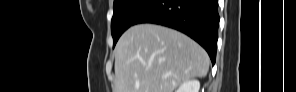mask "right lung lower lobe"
Instances as JSON below:
<instances>
[{
	"label": "right lung lower lobe",
	"mask_w": 296,
	"mask_h": 92,
	"mask_svg": "<svg viewBox=\"0 0 296 92\" xmlns=\"http://www.w3.org/2000/svg\"><path fill=\"white\" fill-rule=\"evenodd\" d=\"M218 0H155L134 21L154 23L179 30L198 42L216 60Z\"/></svg>",
	"instance_id": "98d812e1"
}]
</instances>
